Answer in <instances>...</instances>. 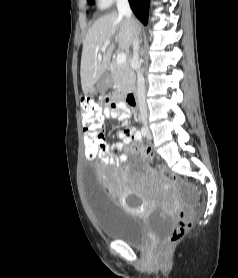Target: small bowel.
<instances>
[{"instance_id":"obj_1","label":"small bowel","mask_w":238,"mask_h":278,"mask_svg":"<svg viewBox=\"0 0 238 278\" xmlns=\"http://www.w3.org/2000/svg\"><path fill=\"white\" fill-rule=\"evenodd\" d=\"M130 115L131 111L127 105L124 102L117 100L115 97H112L110 104L102 111L101 117H103V129L106 120L117 119L120 121H127L130 118ZM116 137L118 139L116 143H107L104 139L105 145L103 146L100 156H98L101 163L115 164L116 161L110 157L109 152H112L114 149L120 150L132 142L139 143L142 140L141 133L134 127H127L124 130L118 131Z\"/></svg>"}]
</instances>
